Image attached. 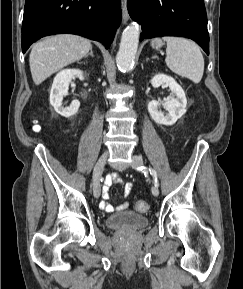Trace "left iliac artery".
Wrapping results in <instances>:
<instances>
[{"label":"left iliac artery","mask_w":243,"mask_h":289,"mask_svg":"<svg viewBox=\"0 0 243 289\" xmlns=\"http://www.w3.org/2000/svg\"><path fill=\"white\" fill-rule=\"evenodd\" d=\"M138 170H139V171H144V170H145V167L141 166V167L138 168ZM148 170H149L150 174H151L152 177H153L154 184L158 187L159 182H158V178H157V173H156V171H155L153 168H151V167H149Z\"/></svg>","instance_id":"obj_1"}]
</instances>
